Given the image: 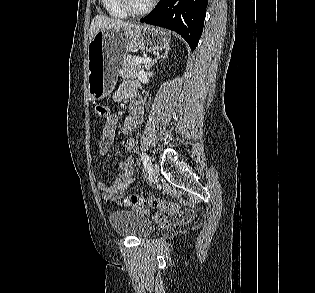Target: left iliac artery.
Masks as SVG:
<instances>
[{
    "mask_svg": "<svg viewBox=\"0 0 315 293\" xmlns=\"http://www.w3.org/2000/svg\"><path fill=\"white\" fill-rule=\"evenodd\" d=\"M141 160L143 162L144 168L146 170H150V168H151V161H150L148 155L145 154V153H141Z\"/></svg>",
    "mask_w": 315,
    "mask_h": 293,
    "instance_id": "1",
    "label": "left iliac artery"
}]
</instances>
